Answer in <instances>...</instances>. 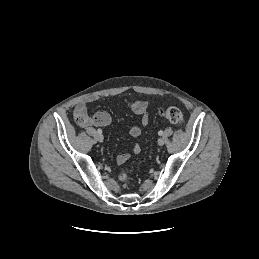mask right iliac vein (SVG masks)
Here are the masks:
<instances>
[{
  "instance_id": "obj_1",
  "label": "right iliac vein",
  "mask_w": 259,
  "mask_h": 259,
  "mask_svg": "<svg viewBox=\"0 0 259 259\" xmlns=\"http://www.w3.org/2000/svg\"><path fill=\"white\" fill-rule=\"evenodd\" d=\"M97 139H98L99 142H103L104 137H103L102 134H98V135H97Z\"/></svg>"
}]
</instances>
